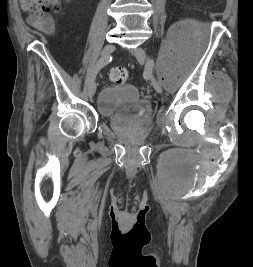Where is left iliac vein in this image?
Listing matches in <instances>:
<instances>
[{"label":"left iliac vein","instance_id":"4c4485c4","mask_svg":"<svg viewBox=\"0 0 253 267\" xmlns=\"http://www.w3.org/2000/svg\"><path fill=\"white\" fill-rule=\"evenodd\" d=\"M132 54L135 56V58L137 59V61L139 63H144L146 65L147 70L149 72V77L151 78V81L153 83V86H154L156 92L157 93H162L161 85L152 76V68H153L154 65L152 64L150 59L146 56L145 51L142 48L137 47L135 50L132 51Z\"/></svg>","mask_w":253,"mask_h":267}]
</instances>
